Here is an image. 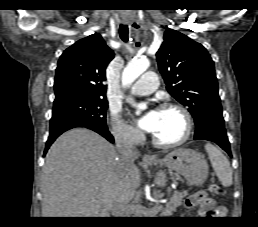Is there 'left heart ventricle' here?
<instances>
[{"label":"left heart ventricle","mask_w":258,"mask_h":227,"mask_svg":"<svg viewBox=\"0 0 258 227\" xmlns=\"http://www.w3.org/2000/svg\"><path fill=\"white\" fill-rule=\"evenodd\" d=\"M185 131L184 118L177 110H157V123L152 134L164 142L178 140Z\"/></svg>","instance_id":"left-heart-ventricle-1"}]
</instances>
